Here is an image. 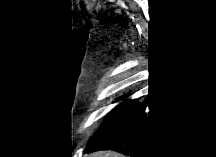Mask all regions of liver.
Here are the masks:
<instances>
[{
    "label": "liver",
    "mask_w": 216,
    "mask_h": 157,
    "mask_svg": "<svg viewBox=\"0 0 216 157\" xmlns=\"http://www.w3.org/2000/svg\"><path fill=\"white\" fill-rule=\"evenodd\" d=\"M90 157H122V156L115 152H96L90 154Z\"/></svg>",
    "instance_id": "6515ba94"
}]
</instances>
